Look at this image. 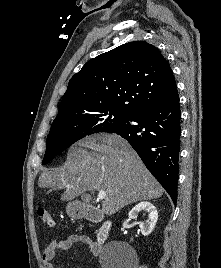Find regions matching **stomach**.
Segmentation results:
<instances>
[{"instance_id": "stomach-1", "label": "stomach", "mask_w": 221, "mask_h": 268, "mask_svg": "<svg viewBox=\"0 0 221 268\" xmlns=\"http://www.w3.org/2000/svg\"><path fill=\"white\" fill-rule=\"evenodd\" d=\"M66 211H67V214L73 218H81L86 213L85 208L76 203H69L66 207Z\"/></svg>"}]
</instances>
